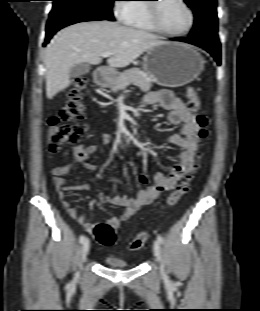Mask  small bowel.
<instances>
[{
  "instance_id": "small-bowel-1",
  "label": "small bowel",
  "mask_w": 260,
  "mask_h": 311,
  "mask_svg": "<svg viewBox=\"0 0 260 311\" xmlns=\"http://www.w3.org/2000/svg\"><path fill=\"white\" fill-rule=\"evenodd\" d=\"M145 103L147 105L160 106L168 112V122L171 125L180 126V131L170 137V142L178 146L181 152L178 162L170 172L168 174L156 173L153 184L141 189L135 198L122 195L106 199L108 203L123 207L124 209L119 217H113L108 221L115 228H118L122 222L128 220L142 206L156 201L163 192L172 189L177 181L190 171L197 148L198 125L196 116L188 110L179 97L175 96L170 90L152 91L146 95ZM111 140L112 134L103 132L96 143L87 146H77L74 149V162L56 166L51 171L52 181L62 206L68 215L81 224L89 233L93 232L95 224L87 222L85 215L72 206L66 198V192L78 191L84 187L69 185L65 175L70 172L74 163H80L86 170L94 172L96 167L90 160L91 156L97 153L103 146L109 144ZM139 180L143 184H146L148 181L145 175H141Z\"/></svg>"
}]
</instances>
